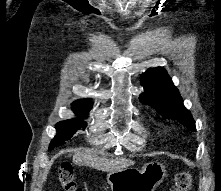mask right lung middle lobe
<instances>
[{"instance_id":"right-lung-middle-lobe-1","label":"right lung middle lobe","mask_w":221,"mask_h":191,"mask_svg":"<svg viewBox=\"0 0 221 191\" xmlns=\"http://www.w3.org/2000/svg\"><path fill=\"white\" fill-rule=\"evenodd\" d=\"M80 117L86 116L88 113L75 112ZM87 127V123L80 119L74 118L65 121L58 122L55 126L57 130V135L52 139L49 150H52L57 145H63L66 140H69L72 135L78 129H85Z\"/></svg>"}]
</instances>
